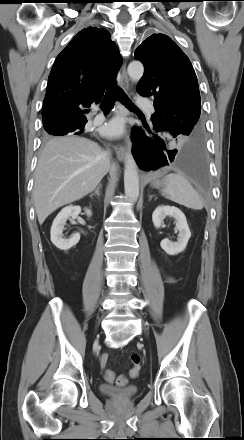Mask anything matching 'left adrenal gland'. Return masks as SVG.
<instances>
[{"label": "left adrenal gland", "instance_id": "1", "mask_svg": "<svg viewBox=\"0 0 244 440\" xmlns=\"http://www.w3.org/2000/svg\"><path fill=\"white\" fill-rule=\"evenodd\" d=\"M152 197H154V195H150V197H149V200H151V199H152Z\"/></svg>", "mask_w": 244, "mask_h": 440}]
</instances>
